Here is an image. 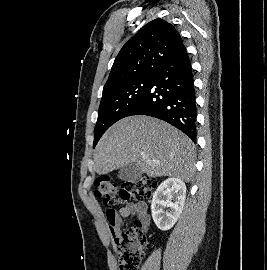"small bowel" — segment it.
Wrapping results in <instances>:
<instances>
[{
	"instance_id": "c3829d8e",
	"label": "small bowel",
	"mask_w": 267,
	"mask_h": 270,
	"mask_svg": "<svg viewBox=\"0 0 267 270\" xmlns=\"http://www.w3.org/2000/svg\"><path fill=\"white\" fill-rule=\"evenodd\" d=\"M129 216L137 217L142 226L147 229L150 221L147 205L144 202L128 203L112 214L106 212L107 227L113 237L120 231L122 219Z\"/></svg>"
}]
</instances>
